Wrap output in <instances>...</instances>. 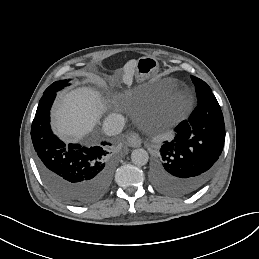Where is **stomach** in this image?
<instances>
[{
	"instance_id": "1",
	"label": "stomach",
	"mask_w": 259,
	"mask_h": 259,
	"mask_svg": "<svg viewBox=\"0 0 259 259\" xmlns=\"http://www.w3.org/2000/svg\"><path fill=\"white\" fill-rule=\"evenodd\" d=\"M158 62L154 57H141L136 64V72L140 77L151 76L158 70Z\"/></svg>"
}]
</instances>
